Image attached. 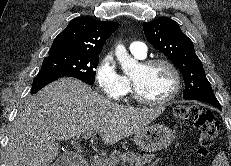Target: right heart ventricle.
Returning <instances> with one entry per match:
<instances>
[{"mask_svg": "<svg viewBox=\"0 0 231 166\" xmlns=\"http://www.w3.org/2000/svg\"><path fill=\"white\" fill-rule=\"evenodd\" d=\"M136 57V56H135ZM136 58H138V57H136ZM138 59H142V58H138ZM126 78V77H125ZM127 79V81L129 82V84H130V81H129V79L128 78H126Z\"/></svg>", "mask_w": 231, "mask_h": 166, "instance_id": "1", "label": "right heart ventricle"}]
</instances>
